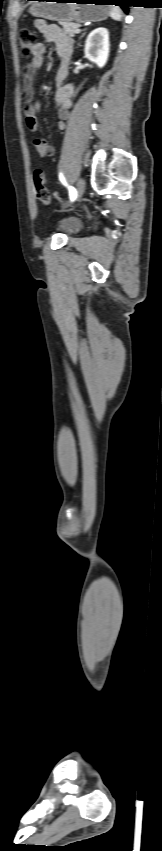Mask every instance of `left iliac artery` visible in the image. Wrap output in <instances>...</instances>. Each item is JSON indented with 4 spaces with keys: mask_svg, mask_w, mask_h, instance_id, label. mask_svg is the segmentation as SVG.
<instances>
[{
    "mask_svg": "<svg viewBox=\"0 0 162 851\" xmlns=\"http://www.w3.org/2000/svg\"><path fill=\"white\" fill-rule=\"evenodd\" d=\"M59 178H60V181H61V182H62L65 186H67V187H68L69 195H70V199H71V201H74V200L77 198V191H76V189H75L74 187H72V186H68V185H67V183H66V181H65V178L63 177V175H62L61 173H60V175H59Z\"/></svg>",
    "mask_w": 162,
    "mask_h": 851,
    "instance_id": "obj_1",
    "label": "left iliac artery"
}]
</instances>
